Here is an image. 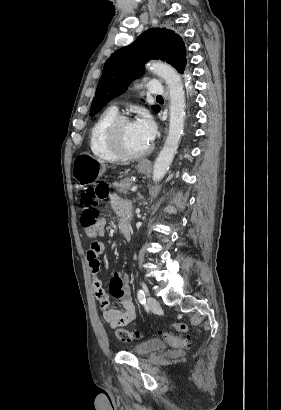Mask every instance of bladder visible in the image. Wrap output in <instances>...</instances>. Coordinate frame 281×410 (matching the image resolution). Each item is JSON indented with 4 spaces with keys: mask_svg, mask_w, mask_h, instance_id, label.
<instances>
[{
    "mask_svg": "<svg viewBox=\"0 0 281 410\" xmlns=\"http://www.w3.org/2000/svg\"><path fill=\"white\" fill-rule=\"evenodd\" d=\"M166 344L163 341L151 339L144 341L132 348V352L139 356L149 355L165 349Z\"/></svg>",
    "mask_w": 281,
    "mask_h": 410,
    "instance_id": "bladder-1",
    "label": "bladder"
}]
</instances>
